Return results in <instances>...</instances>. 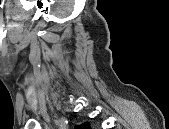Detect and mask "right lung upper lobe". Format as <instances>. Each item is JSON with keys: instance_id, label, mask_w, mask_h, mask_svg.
I'll use <instances>...</instances> for the list:
<instances>
[{"instance_id": "obj_1", "label": "right lung upper lobe", "mask_w": 169, "mask_h": 129, "mask_svg": "<svg viewBox=\"0 0 169 129\" xmlns=\"http://www.w3.org/2000/svg\"><path fill=\"white\" fill-rule=\"evenodd\" d=\"M81 128H90L89 123H88V122H87V123H84V124L81 126Z\"/></svg>"}]
</instances>
